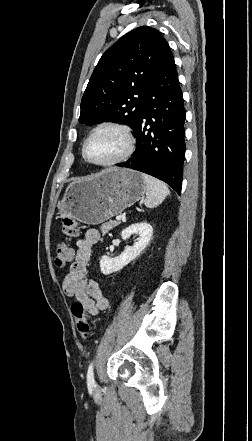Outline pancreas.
Returning a JSON list of instances; mask_svg holds the SVG:
<instances>
[{
	"mask_svg": "<svg viewBox=\"0 0 252 441\" xmlns=\"http://www.w3.org/2000/svg\"><path fill=\"white\" fill-rule=\"evenodd\" d=\"M119 224H120V222L111 220L109 222L102 224L100 226V230H101L102 234L105 235L106 233H108L110 230H112L114 227L118 226Z\"/></svg>",
	"mask_w": 252,
	"mask_h": 441,
	"instance_id": "cf45deb5",
	"label": "pancreas"
}]
</instances>
